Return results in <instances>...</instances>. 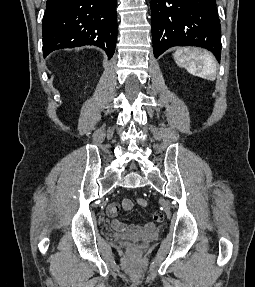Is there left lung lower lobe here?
<instances>
[{"label": "left lung lower lobe", "instance_id": "1", "mask_svg": "<svg viewBox=\"0 0 255 287\" xmlns=\"http://www.w3.org/2000/svg\"><path fill=\"white\" fill-rule=\"evenodd\" d=\"M152 43L157 58L173 46L210 50L220 62L221 25L215 0H151Z\"/></svg>", "mask_w": 255, "mask_h": 287}]
</instances>
